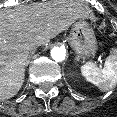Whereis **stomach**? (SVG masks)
I'll return each instance as SVG.
<instances>
[{"mask_svg":"<svg viewBox=\"0 0 117 117\" xmlns=\"http://www.w3.org/2000/svg\"><path fill=\"white\" fill-rule=\"evenodd\" d=\"M68 41L72 49L80 56H91L97 50L94 31L84 20L73 24Z\"/></svg>","mask_w":117,"mask_h":117,"instance_id":"stomach-1","label":"stomach"}]
</instances>
